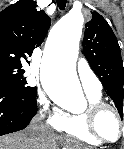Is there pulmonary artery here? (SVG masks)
<instances>
[{
    "mask_svg": "<svg viewBox=\"0 0 124 149\" xmlns=\"http://www.w3.org/2000/svg\"><path fill=\"white\" fill-rule=\"evenodd\" d=\"M77 73L85 92L101 93L102 84L85 59H80Z\"/></svg>",
    "mask_w": 124,
    "mask_h": 149,
    "instance_id": "pulmonary-artery-1",
    "label": "pulmonary artery"
}]
</instances>
